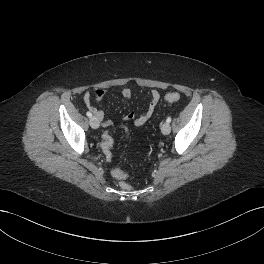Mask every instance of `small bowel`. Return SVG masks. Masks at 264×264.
<instances>
[{
    "label": "small bowel",
    "mask_w": 264,
    "mask_h": 264,
    "mask_svg": "<svg viewBox=\"0 0 264 264\" xmlns=\"http://www.w3.org/2000/svg\"><path fill=\"white\" fill-rule=\"evenodd\" d=\"M106 95L105 91L97 90L93 94L90 92H86L84 94V102L86 107L95 115V117L100 121L101 125L105 128L110 127L112 125V121L105 117V114L102 110L98 109L93 105L92 100H101ZM121 95L124 99L129 100L134 96V92L129 88H124L121 91ZM149 103L146 110L139 116H137L134 112L127 113L123 119L126 121H132L135 126L144 125L153 115L154 110L156 108L157 103L160 99V93L158 90H152L148 93ZM108 160H111L112 155H106ZM120 171L115 168L112 170V174L115 177L116 172Z\"/></svg>",
    "instance_id": "obj_1"
}]
</instances>
